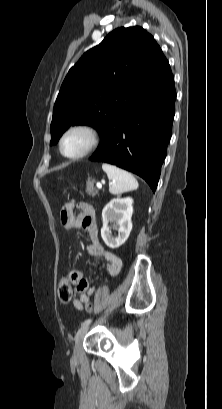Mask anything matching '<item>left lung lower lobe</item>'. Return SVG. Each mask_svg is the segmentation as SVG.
Here are the masks:
<instances>
[{
	"instance_id": "left-lung-lower-lobe-1",
	"label": "left lung lower lobe",
	"mask_w": 222,
	"mask_h": 409,
	"mask_svg": "<svg viewBox=\"0 0 222 409\" xmlns=\"http://www.w3.org/2000/svg\"><path fill=\"white\" fill-rule=\"evenodd\" d=\"M175 99L170 72L123 108L101 135L90 160L133 172L155 192L172 134Z\"/></svg>"
}]
</instances>
